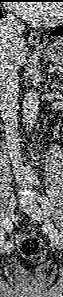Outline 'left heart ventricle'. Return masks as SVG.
Listing matches in <instances>:
<instances>
[{"mask_svg": "<svg viewBox=\"0 0 63 297\" xmlns=\"http://www.w3.org/2000/svg\"><path fill=\"white\" fill-rule=\"evenodd\" d=\"M53 14H54V11L52 10L51 16H53Z\"/></svg>", "mask_w": 63, "mask_h": 297, "instance_id": "obj_1", "label": "left heart ventricle"}]
</instances>
